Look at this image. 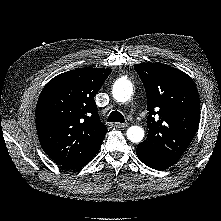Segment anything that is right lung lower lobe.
Instances as JSON below:
<instances>
[{
	"mask_svg": "<svg viewBox=\"0 0 221 221\" xmlns=\"http://www.w3.org/2000/svg\"><path fill=\"white\" fill-rule=\"evenodd\" d=\"M92 159V158H91ZM90 159V160H91ZM90 160L86 161V162H83L81 164H77V165H62L63 167H65L66 169H77V168H80L84 165H86L88 162H90Z\"/></svg>",
	"mask_w": 221,
	"mask_h": 221,
	"instance_id": "98d812e1",
	"label": "right lung lower lobe"
}]
</instances>
